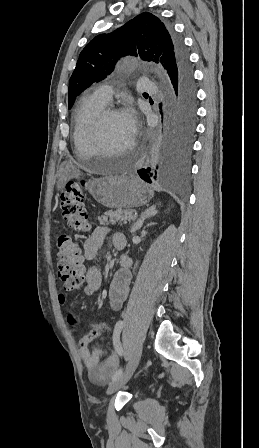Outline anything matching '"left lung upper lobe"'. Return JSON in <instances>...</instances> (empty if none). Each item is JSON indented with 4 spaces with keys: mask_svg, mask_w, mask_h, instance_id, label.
<instances>
[{
    "mask_svg": "<svg viewBox=\"0 0 259 448\" xmlns=\"http://www.w3.org/2000/svg\"><path fill=\"white\" fill-rule=\"evenodd\" d=\"M180 48L170 29L149 12H143L109 34L94 37L81 51L69 82L68 107L88 86L106 78L117 61L126 55L163 64L167 70L179 56Z\"/></svg>",
    "mask_w": 259,
    "mask_h": 448,
    "instance_id": "left-lung-upper-lobe-1",
    "label": "left lung upper lobe"
}]
</instances>
